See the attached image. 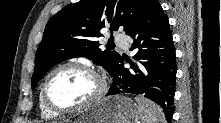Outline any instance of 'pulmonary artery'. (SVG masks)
I'll return each mask as SVG.
<instances>
[{"mask_svg":"<svg viewBox=\"0 0 221 123\" xmlns=\"http://www.w3.org/2000/svg\"><path fill=\"white\" fill-rule=\"evenodd\" d=\"M115 41L119 44L122 48H128V38L123 34H117L115 36Z\"/></svg>","mask_w":221,"mask_h":123,"instance_id":"obj_1","label":"pulmonary artery"}]
</instances>
